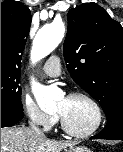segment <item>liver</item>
Instances as JSON below:
<instances>
[{
	"mask_svg": "<svg viewBox=\"0 0 123 152\" xmlns=\"http://www.w3.org/2000/svg\"><path fill=\"white\" fill-rule=\"evenodd\" d=\"M75 144L47 139L26 127L1 128V152H61Z\"/></svg>",
	"mask_w": 123,
	"mask_h": 152,
	"instance_id": "obj_1",
	"label": "liver"
}]
</instances>
